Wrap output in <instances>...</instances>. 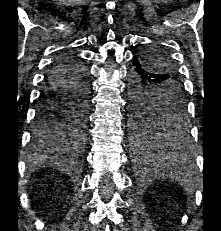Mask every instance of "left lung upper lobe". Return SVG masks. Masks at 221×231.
Segmentation results:
<instances>
[{"label":"left lung upper lobe","instance_id":"1","mask_svg":"<svg viewBox=\"0 0 221 231\" xmlns=\"http://www.w3.org/2000/svg\"><path fill=\"white\" fill-rule=\"evenodd\" d=\"M144 55L146 68L163 78L158 82L162 87L160 92L145 96L151 103L139 112L130 113L132 132L138 142L152 138L154 131H160L159 129L162 131L166 127L184 122L186 112L182 83L177 78L169 54L163 47L154 46Z\"/></svg>","mask_w":221,"mask_h":231}]
</instances>
